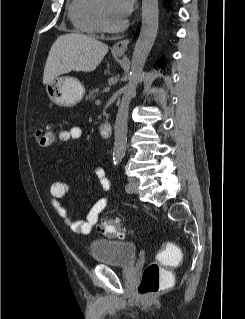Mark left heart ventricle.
I'll return each instance as SVG.
<instances>
[{"mask_svg":"<svg viewBox=\"0 0 245 319\" xmlns=\"http://www.w3.org/2000/svg\"><path fill=\"white\" fill-rule=\"evenodd\" d=\"M102 6L107 14L108 19L113 23H119L122 20L118 19L114 14L113 0H102Z\"/></svg>","mask_w":245,"mask_h":319,"instance_id":"1","label":"left heart ventricle"}]
</instances>
